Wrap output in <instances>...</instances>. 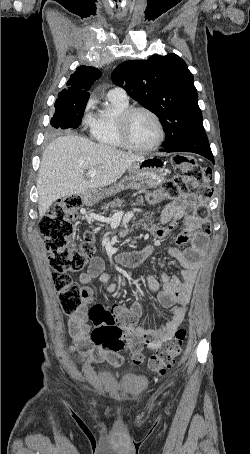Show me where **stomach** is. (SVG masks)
<instances>
[{
	"mask_svg": "<svg viewBox=\"0 0 250 454\" xmlns=\"http://www.w3.org/2000/svg\"><path fill=\"white\" fill-rule=\"evenodd\" d=\"M165 176V164L157 157H147L135 162L129 168V176L125 177L118 185L105 192L89 190L81 195L86 205L99 202L105 195H112L124 188L142 189L159 185Z\"/></svg>",
	"mask_w": 250,
	"mask_h": 454,
	"instance_id": "stomach-1",
	"label": "stomach"
}]
</instances>
